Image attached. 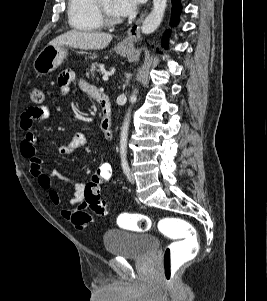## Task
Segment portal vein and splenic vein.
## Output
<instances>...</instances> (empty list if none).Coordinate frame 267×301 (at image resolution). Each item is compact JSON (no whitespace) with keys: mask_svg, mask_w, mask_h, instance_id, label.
<instances>
[{"mask_svg":"<svg viewBox=\"0 0 267 301\" xmlns=\"http://www.w3.org/2000/svg\"><path fill=\"white\" fill-rule=\"evenodd\" d=\"M103 81H108L109 79V74L108 73H105L102 77Z\"/></svg>","mask_w":267,"mask_h":301,"instance_id":"portal-vein-and-splenic-vein-1","label":"portal vein and splenic vein"}]
</instances>
